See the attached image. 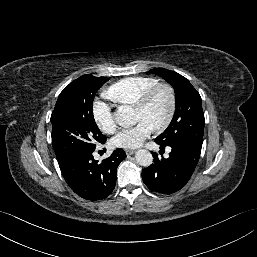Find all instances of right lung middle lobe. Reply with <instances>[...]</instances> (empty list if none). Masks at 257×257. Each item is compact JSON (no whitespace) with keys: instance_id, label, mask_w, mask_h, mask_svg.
Listing matches in <instances>:
<instances>
[{"instance_id":"obj_1","label":"right lung middle lobe","mask_w":257,"mask_h":257,"mask_svg":"<svg viewBox=\"0 0 257 257\" xmlns=\"http://www.w3.org/2000/svg\"><path fill=\"white\" fill-rule=\"evenodd\" d=\"M106 77L83 75L60 93L51 115L52 145L58 162L68 155L94 151L96 143H105L93 116V100Z\"/></svg>"}]
</instances>
